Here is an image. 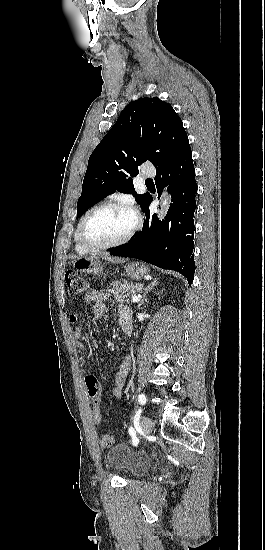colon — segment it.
<instances>
[{
    "instance_id": "obj_1",
    "label": "colon",
    "mask_w": 265,
    "mask_h": 550,
    "mask_svg": "<svg viewBox=\"0 0 265 550\" xmlns=\"http://www.w3.org/2000/svg\"><path fill=\"white\" fill-rule=\"evenodd\" d=\"M65 283L67 294L71 297H77L81 295L87 288V280L78 272L69 270L65 273ZM88 394L92 400V417L94 420L99 421L102 417L99 408L101 389L100 383L95 376H87L85 379ZM114 443L112 435L105 434L101 439L103 447H111Z\"/></svg>"
}]
</instances>
